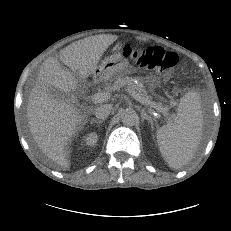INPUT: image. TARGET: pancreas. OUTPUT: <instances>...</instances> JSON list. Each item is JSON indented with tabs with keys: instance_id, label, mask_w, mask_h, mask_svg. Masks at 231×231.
I'll return each instance as SVG.
<instances>
[{
	"instance_id": "obj_1",
	"label": "pancreas",
	"mask_w": 231,
	"mask_h": 231,
	"mask_svg": "<svg viewBox=\"0 0 231 231\" xmlns=\"http://www.w3.org/2000/svg\"><path fill=\"white\" fill-rule=\"evenodd\" d=\"M125 86L136 91L141 97L149 101L151 103V107L156 109L158 112L162 114L168 113L169 108L167 106H164L160 102H153L151 100V97L147 95V92L144 89V87H139L138 85H136L131 77L117 76L114 83L111 87H109V89L113 91H118Z\"/></svg>"
}]
</instances>
